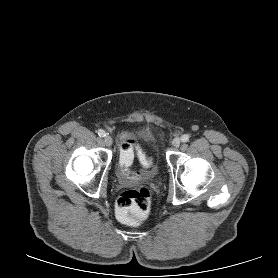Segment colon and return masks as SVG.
I'll use <instances>...</instances> for the list:
<instances>
[{
  "mask_svg": "<svg viewBox=\"0 0 278 278\" xmlns=\"http://www.w3.org/2000/svg\"><path fill=\"white\" fill-rule=\"evenodd\" d=\"M141 163L149 166L152 160L146 157L141 151H138ZM133 161V142L126 141L121 148V170L123 175L133 181L141 178L139 172L130 169ZM152 202L150 189L145 185H139L135 188L123 191L117 198L115 208L118 218L131 226H138L147 218Z\"/></svg>",
  "mask_w": 278,
  "mask_h": 278,
  "instance_id": "colon-1",
  "label": "colon"
}]
</instances>
